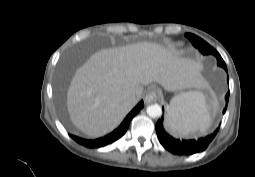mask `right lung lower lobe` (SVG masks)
Instances as JSON below:
<instances>
[{"mask_svg":"<svg viewBox=\"0 0 255 177\" xmlns=\"http://www.w3.org/2000/svg\"><path fill=\"white\" fill-rule=\"evenodd\" d=\"M143 106H144L143 101L138 103V105H136L135 108L126 116L121 125L117 129H115L112 133L107 134L104 137L95 140H87L73 135H71V137L77 143L88 148H99L111 144L120 139L125 134L129 127L131 119L143 108Z\"/></svg>","mask_w":255,"mask_h":177,"instance_id":"obj_1","label":"right lung lower lobe"}]
</instances>
